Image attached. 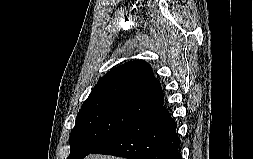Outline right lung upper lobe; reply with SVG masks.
<instances>
[{
  "label": "right lung upper lobe",
  "instance_id": "cb5924a9",
  "mask_svg": "<svg viewBox=\"0 0 253 159\" xmlns=\"http://www.w3.org/2000/svg\"><path fill=\"white\" fill-rule=\"evenodd\" d=\"M126 96L163 104L160 82L153 76L151 66L143 60L129 61L109 71L92 89L90 98Z\"/></svg>",
  "mask_w": 253,
  "mask_h": 159
}]
</instances>
